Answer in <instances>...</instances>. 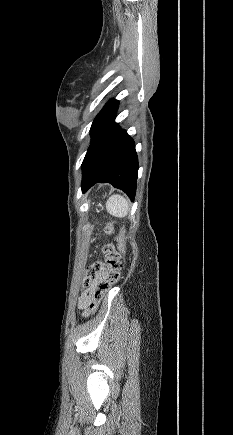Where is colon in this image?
Wrapping results in <instances>:
<instances>
[{"label":"colon","instance_id":"colon-1","mask_svg":"<svg viewBox=\"0 0 233 435\" xmlns=\"http://www.w3.org/2000/svg\"><path fill=\"white\" fill-rule=\"evenodd\" d=\"M114 233V225L108 223L105 227V234L111 236ZM117 245L111 242H105L102 246L103 259L91 264L83 278V287L95 285L93 300L91 301L88 310L94 312L100 305L104 296L109 293L113 286L119 281L120 271L122 268V257L125 253V240L122 235L116 238ZM103 272H110L108 279L101 278Z\"/></svg>","mask_w":233,"mask_h":435}]
</instances>
